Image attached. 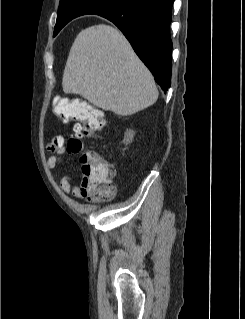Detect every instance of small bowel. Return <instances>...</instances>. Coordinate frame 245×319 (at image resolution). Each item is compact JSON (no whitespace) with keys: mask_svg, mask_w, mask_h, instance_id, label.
Returning <instances> with one entry per match:
<instances>
[{"mask_svg":"<svg viewBox=\"0 0 245 319\" xmlns=\"http://www.w3.org/2000/svg\"><path fill=\"white\" fill-rule=\"evenodd\" d=\"M47 150L50 152L48 157V167L54 169L63 164V154L65 153V137L63 135L55 136L46 144ZM60 186L66 194H72L76 198H82L80 188L72 183L68 176H62Z\"/></svg>","mask_w":245,"mask_h":319,"instance_id":"c3829d8e","label":"small bowel"}]
</instances>
